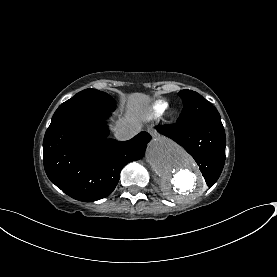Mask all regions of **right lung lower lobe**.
Wrapping results in <instances>:
<instances>
[{"label": "right lung lower lobe", "instance_id": "98d812e1", "mask_svg": "<svg viewBox=\"0 0 277 277\" xmlns=\"http://www.w3.org/2000/svg\"><path fill=\"white\" fill-rule=\"evenodd\" d=\"M109 113L69 118L47 129L43 161L48 178L70 197L92 202L107 197L129 162L144 156L150 135L141 132L128 141L107 138Z\"/></svg>", "mask_w": 277, "mask_h": 277}]
</instances>
